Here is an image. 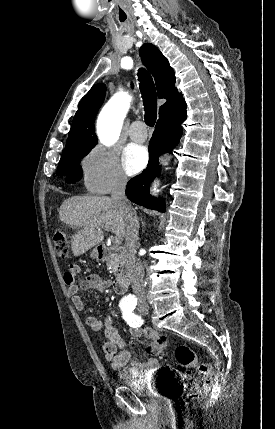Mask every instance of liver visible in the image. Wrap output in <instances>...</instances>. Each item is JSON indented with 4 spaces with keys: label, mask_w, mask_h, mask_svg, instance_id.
I'll use <instances>...</instances> for the list:
<instances>
[{
    "label": "liver",
    "mask_w": 275,
    "mask_h": 429,
    "mask_svg": "<svg viewBox=\"0 0 275 429\" xmlns=\"http://www.w3.org/2000/svg\"><path fill=\"white\" fill-rule=\"evenodd\" d=\"M62 222L81 228L71 236V249L80 256L104 239L102 228L108 226L120 238L125 236V219L118 205L107 196H73L59 210Z\"/></svg>",
    "instance_id": "6515ba94"
}]
</instances>
